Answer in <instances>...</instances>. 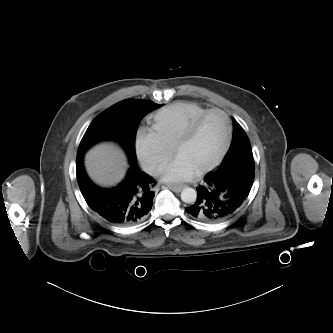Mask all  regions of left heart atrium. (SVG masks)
I'll list each match as a JSON object with an SVG mask.
<instances>
[{
    "label": "left heart atrium",
    "instance_id": "obj_1",
    "mask_svg": "<svg viewBox=\"0 0 333 333\" xmlns=\"http://www.w3.org/2000/svg\"><path fill=\"white\" fill-rule=\"evenodd\" d=\"M196 170L179 154L174 155L160 170L162 180L178 183L190 180Z\"/></svg>",
    "mask_w": 333,
    "mask_h": 333
}]
</instances>
